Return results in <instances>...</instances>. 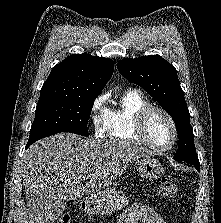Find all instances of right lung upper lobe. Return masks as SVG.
<instances>
[{"instance_id": "cb5924a9", "label": "right lung upper lobe", "mask_w": 221, "mask_h": 223, "mask_svg": "<svg viewBox=\"0 0 221 223\" xmlns=\"http://www.w3.org/2000/svg\"><path fill=\"white\" fill-rule=\"evenodd\" d=\"M114 62L87 53L72 54L54 66L43 84L39 101L97 97L111 78Z\"/></svg>"}]
</instances>
